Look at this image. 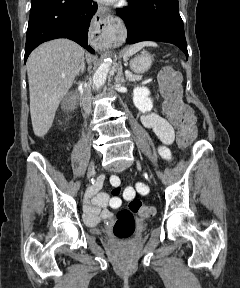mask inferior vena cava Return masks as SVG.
<instances>
[{
    "mask_svg": "<svg viewBox=\"0 0 240 288\" xmlns=\"http://www.w3.org/2000/svg\"><path fill=\"white\" fill-rule=\"evenodd\" d=\"M81 104L85 114L89 115L91 112V90L90 87L83 88V94L81 97Z\"/></svg>",
    "mask_w": 240,
    "mask_h": 288,
    "instance_id": "602c4592",
    "label": "inferior vena cava"
}]
</instances>
